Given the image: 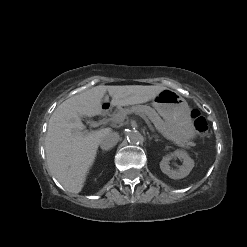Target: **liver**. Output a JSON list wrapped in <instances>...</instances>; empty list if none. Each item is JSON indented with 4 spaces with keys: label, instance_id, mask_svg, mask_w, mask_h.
<instances>
[{
    "label": "liver",
    "instance_id": "6515ba94",
    "mask_svg": "<svg viewBox=\"0 0 247 247\" xmlns=\"http://www.w3.org/2000/svg\"><path fill=\"white\" fill-rule=\"evenodd\" d=\"M166 87L162 85H99L75 95L53 112L45 139L50 173L71 193H79L95 161L101 137L109 131L85 132L80 116H96L102 111L106 92L111 105L129 106L154 99Z\"/></svg>",
    "mask_w": 247,
    "mask_h": 247
}]
</instances>
